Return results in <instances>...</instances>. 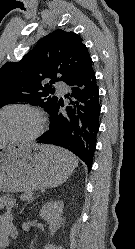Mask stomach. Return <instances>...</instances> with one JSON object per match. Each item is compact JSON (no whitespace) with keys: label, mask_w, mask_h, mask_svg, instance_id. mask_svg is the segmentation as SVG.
Here are the masks:
<instances>
[{"label":"stomach","mask_w":135,"mask_h":249,"mask_svg":"<svg viewBox=\"0 0 135 249\" xmlns=\"http://www.w3.org/2000/svg\"><path fill=\"white\" fill-rule=\"evenodd\" d=\"M55 147L38 144L0 145V191L22 192L55 187L75 166Z\"/></svg>","instance_id":"1"}]
</instances>
